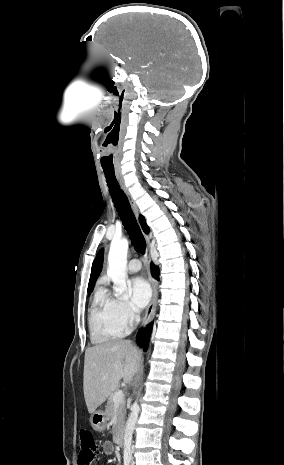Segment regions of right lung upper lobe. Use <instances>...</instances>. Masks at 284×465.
<instances>
[{
    "mask_svg": "<svg viewBox=\"0 0 284 465\" xmlns=\"http://www.w3.org/2000/svg\"><path fill=\"white\" fill-rule=\"evenodd\" d=\"M139 220H140V223L142 225L143 230L146 233H148L149 228L145 223L144 217L140 216ZM102 263H103V249H101L98 252V254H97V256H96V258H95V260H94V262L92 264V270H91V275H90V280H89V285H88V292L89 293L93 290L94 284H95V282H96V280H97V278H98V276H99V274L101 272Z\"/></svg>",
    "mask_w": 284,
    "mask_h": 465,
    "instance_id": "obj_1",
    "label": "right lung upper lobe"
}]
</instances>
